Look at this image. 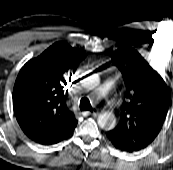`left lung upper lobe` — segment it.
<instances>
[{
	"label": "left lung upper lobe",
	"mask_w": 173,
	"mask_h": 170,
	"mask_svg": "<svg viewBox=\"0 0 173 170\" xmlns=\"http://www.w3.org/2000/svg\"><path fill=\"white\" fill-rule=\"evenodd\" d=\"M111 60L122 73L126 101L121 107L119 124L107 136L127 150L138 151L160 132L170 103V89L132 47L119 48Z\"/></svg>",
	"instance_id": "1"
}]
</instances>
